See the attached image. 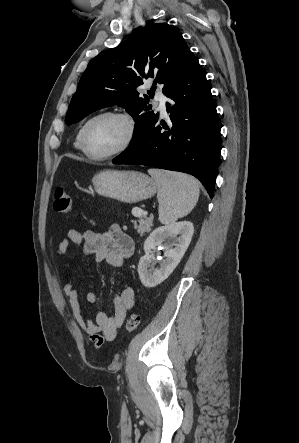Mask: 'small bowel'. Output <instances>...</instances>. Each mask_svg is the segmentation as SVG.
<instances>
[{"instance_id": "c3829d8e", "label": "small bowel", "mask_w": 299, "mask_h": 443, "mask_svg": "<svg viewBox=\"0 0 299 443\" xmlns=\"http://www.w3.org/2000/svg\"><path fill=\"white\" fill-rule=\"evenodd\" d=\"M81 245L85 254L91 255L95 262L106 263L112 268H120L125 260L134 252V242L119 226L114 225L106 233L92 230L70 229L66 238L57 247V254H66L72 246ZM72 262L66 263V268L72 267ZM63 291L68 298V303L76 323L88 334L90 341L96 348L105 342L116 338L118 329L123 324L127 312L132 309L135 302V293L131 286H124L113 302V314L99 311L94 321L85 322L79 296L71 281L63 286ZM88 303L96 302V293L92 290L86 292Z\"/></svg>"}]
</instances>
